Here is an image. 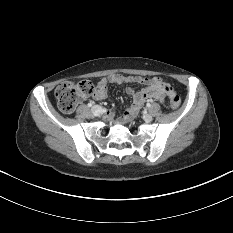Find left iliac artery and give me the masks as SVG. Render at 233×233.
<instances>
[{
	"instance_id": "obj_1",
	"label": "left iliac artery",
	"mask_w": 233,
	"mask_h": 233,
	"mask_svg": "<svg viewBox=\"0 0 233 233\" xmlns=\"http://www.w3.org/2000/svg\"><path fill=\"white\" fill-rule=\"evenodd\" d=\"M147 107H150L151 106V104L150 103H147V105H146Z\"/></svg>"
}]
</instances>
